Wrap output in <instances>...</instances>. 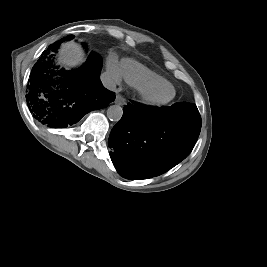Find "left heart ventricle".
Segmentation results:
<instances>
[{
	"mask_svg": "<svg viewBox=\"0 0 267 267\" xmlns=\"http://www.w3.org/2000/svg\"><path fill=\"white\" fill-rule=\"evenodd\" d=\"M172 93V89L169 87H163L151 92V96L156 99H163L169 97Z\"/></svg>",
	"mask_w": 267,
	"mask_h": 267,
	"instance_id": "b2bd125f",
	"label": "left heart ventricle"
}]
</instances>
